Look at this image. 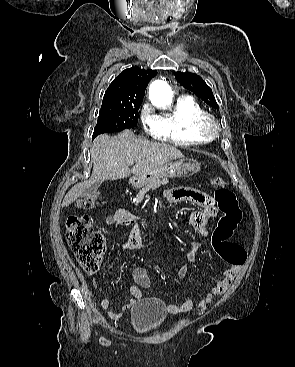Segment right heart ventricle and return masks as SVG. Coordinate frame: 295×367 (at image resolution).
Here are the masks:
<instances>
[{
  "instance_id": "right-heart-ventricle-1",
  "label": "right heart ventricle",
  "mask_w": 295,
  "mask_h": 367,
  "mask_svg": "<svg viewBox=\"0 0 295 367\" xmlns=\"http://www.w3.org/2000/svg\"><path fill=\"white\" fill-rule=\"evenodd\" d=\"M205 114L201 106L191 97L179 98L173 109L158 117V138L182 146L205 144L209 138L197 129V121Z\"/></svg>"
}]
</instances>
